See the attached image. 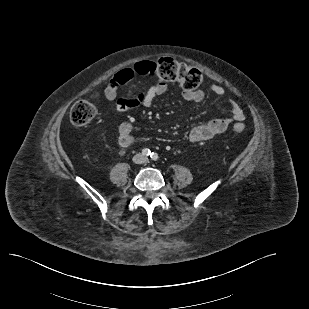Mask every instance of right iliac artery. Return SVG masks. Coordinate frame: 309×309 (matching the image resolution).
<instances>
[{"label": "right iliac artery", "mask_w": 309, "mask_h": 309, "mask_svg": "<svg viewBox=\"0 0 309 309\" xmlns=\"http://www.w3.org/2000/svg\"><path fill=\"white\" fill-rule=\"evenodd\" d=\"M142 154H143L144 156H149V155H151V151H150L149 149H147V148H144V149L142 150Z\"/></svg>", "instance_id": "1"}]
</instances>
